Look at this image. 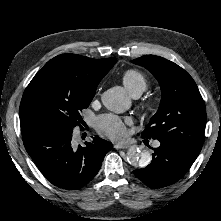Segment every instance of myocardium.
<instances>
[{
	"instance_id": "obj_1",
	"label": "myocardium",
	"mask_w": 221,
	"mask_h": 221,
	"mask_svg": "<svg viewBox=\"0 0 221 221\" xmlns=\"http://www.w3.org/2000/svg\"><path fill=\"white\" fill-rule=\"evenodd\" d=\"M154 106V102L153 101H149L148 103H147V107L148 108H152Z\"/></svg>"
}]
</instances>
